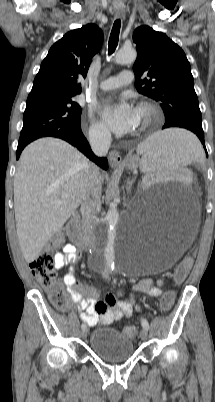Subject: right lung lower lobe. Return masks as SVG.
<instances>
[{
    "label": "right lung lower lobe",
    "mask_w": 215,
    "mask_h": 402,
    "mask_svg": "<svg viewBox=\"0 0 215 402\" xmlns=\"http://www.w3.org/2000/svg\"><path fill=\"white\" fill-rule=\"evenodd\" d=\"M45 136H52L56 138H61L76 148H78L81 152H83L89 159H91L93 162L98 164L100 167L103 169H107L108 164H107V159L106 158H98L94 155L92 152L87 139L84 137V135L81 132V128L75 129V130H70V131H60L52 134H48ZM44 137V136H42ZM27 145V144H26ZM26 145H18L17 151H16V159H19L20 154L24 147Z\"/></svg>",
    "instance_id": "1"
}]
</instances>
